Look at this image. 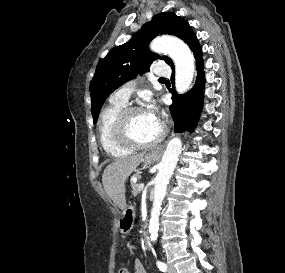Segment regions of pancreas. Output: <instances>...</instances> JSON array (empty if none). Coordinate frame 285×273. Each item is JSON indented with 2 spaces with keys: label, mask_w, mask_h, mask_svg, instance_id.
I'll list each match as a JSON object with an SVG mask.
<instances>
[{
  "label": "pancreas",
  "mask_w": 285,
  "mask_h": 273,
  "mask_svg": "<svg viewBox=\"0 0 285 273\" xmlns=\"http://www.w3.org/2000/svg\"><path fill=\"white\" fill-rule=\"evenodd\" d=\"M139 185H140L139 183L131 181L132 194L134 196H137L140 193Z\"/></svg>",
  "instance_id": "1"
}]
</instances>
